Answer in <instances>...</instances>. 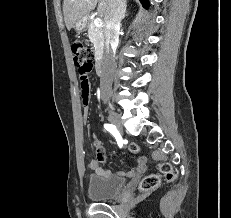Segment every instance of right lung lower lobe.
<instances>
[{"instance_id":"1","label":"right lung lower lobe","mask_w":231,"mask_h":218,"mask_svg":"<svg viewBox=\"0 0 231 218\" xmlns=\"http://www.w3.org/2000/svg\"><path fill=\"white\" fill-rule=\"evenodd\" d=\"M140 2L142 3V5L144 6V7H148V5H149V0H140Z\"/></svg>"}]
</instances>
